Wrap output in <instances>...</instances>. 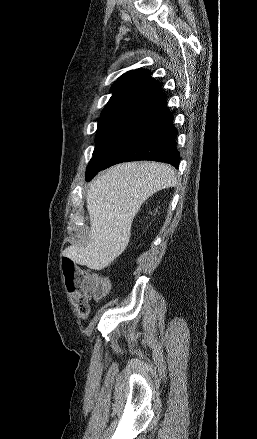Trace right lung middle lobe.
I'll list each match as a JSON object with an SVG mask.
<instances>
[{
    "mask_svg": "<svg viewBox=\"0 0 257 439\" xmlns=\"http://www.w3.org/2000/svg\"><path fill=\"white\" fill-rule=\"evenodd\" d=\"M127 120L121 118H100L96 135L95 155Z\"/></svg>",
    "mask_w": 257,
    "mask_h": 439,
    "instance_id": "1",
    "label": "right lung middle lobe"
}]
</instances>
